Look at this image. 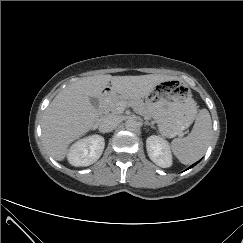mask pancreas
<instances>
[{
    "label": "pancreas",
    "instance_id": "pancreas-1",
    "mask_svg": "<svg viewBox=\"0 0 243 243\" xmlns=\"http://www.w3.org/2000/svg\"><path fill=\"white\" fill-rule=\"evenodd\" d=\"M120 104H124L126 107H132L137 113L147 115V109L140 99H130L123 96L113 97L108 103H106L105 111L116 115L121 114L122 112L118 109Z\"/></svg>",
    "mask_w": 243,
    "mask_h": 243
}]
</instances>
